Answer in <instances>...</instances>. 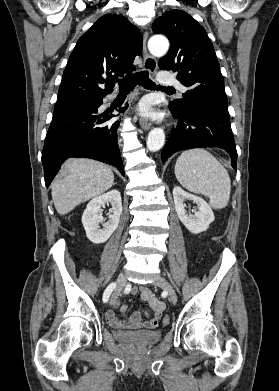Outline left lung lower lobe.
I'll list each match as a JSON object with an SVG mask.
<instances>
[{"label":"left lung lower lobe","mask_w":279,"mask_h":391,"mask_svg":"<svg viewBox=\"0 0 279 391\" xmlns=\"http://www.w3.org/2000/svg\"><path fill=\"white\" fill-rule=\"evenodd\" d=\"M170 110L179 124L170 133L162 151V162L181 150L219 147L230 154L232 167L236 170L237 151L229 114L199 102L188 103L185 107L170 102Z\"/></svg>","instance_id":"1"}]
</instances>
